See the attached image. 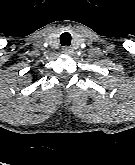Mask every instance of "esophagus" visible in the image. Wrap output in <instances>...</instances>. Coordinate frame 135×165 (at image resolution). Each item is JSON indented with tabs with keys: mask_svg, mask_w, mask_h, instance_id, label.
<instances>
[{
	"mask_svg": "<svg viewBox=\"0 0 135 165\" xmlns=\"http://www.w3.org/2000/svg\"><path fill=\"white\" fill-rule=\"evenodd\" d=\"M71 52H72V49L68 46H64L62 48V53H64V54H71Z\"/></svg>",
	"mask_w": 135,
	"mask_h": 165,
	"instance_id": "esophagus-1",
	"label": "esophagus"
}]
</instances>
